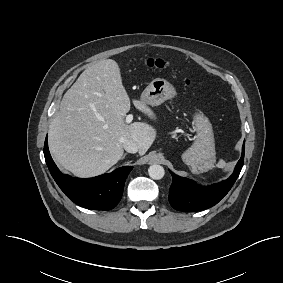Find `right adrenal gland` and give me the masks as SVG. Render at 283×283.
I'll use <instances>...</instances> for the list:
<instances>
[{
    "instance_id": "obj_1",
    "label": "right adrenal gland",
    "mask_w": 283,
    "mask_h": 283,
    "mask_svg": "<svg viewBox=\"0 0 283 283\" xmlns=\"http://www.w3.org/2000/svg\"><path fill=\"white\" fill-rule=\"evenodd\" d=\"M126 156V154L123 155L122 159Z\"/></svg>"
}]
</instances>
